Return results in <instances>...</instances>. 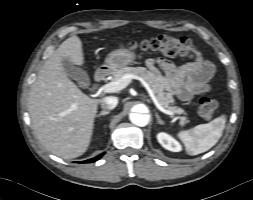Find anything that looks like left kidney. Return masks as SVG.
Returning <instances> with one entry per match:
<instances>
[{
	"mask_svg": "<svg viewBox=\"0 0 253 200\" xmlns=\"http://www.w3.org/2000/svg\"><path fill=\"white\" fill-rule=\"evenodd\" d=\"M157 140L162 147L169 151L180 152L182 150L181 144L175 138L165 132L158 133Z\"/></svg>",
	"mask_w": 253,
	"mask_h": 200,
	"instance_id": "left-kidney-1",
	"label": "left kidney"
}]
</instances>
